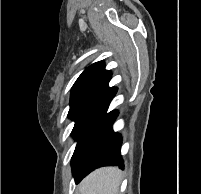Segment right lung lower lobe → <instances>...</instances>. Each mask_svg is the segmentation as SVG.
<instances>
[{
    "instance_id": "1",
    "label": "right lung lower lobe",
    "mask_w": 201,
    "mask_h": 194,
    "mask_svg": "<svg viewBox=\"0 0 201 194\" xmlns=\"http://www.w3.org/2000/svg\"><path fill=\"white\" fill-rule=\"evenodd\" d=\"M116 92L117 88H112L88 103L75 119L72 135L78 143L71 164L76 183L98 167L124 166L120 153L122 138L112 130L118 111L106 113Z\"/></svg>"
}]
</instances>
